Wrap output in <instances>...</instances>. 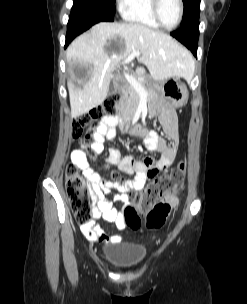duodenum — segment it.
Returning a JSON list of instances; mask_svg holds the SVG:
<instances>
[{"label": "duodenum", "instance_id": "obj_1", "mask_svg": "<svg viewBox=\"0 0 247 304\" xmlns=\"http://www.w3.org/2000/svg\"><path fill=\"white\" fill-rule=\"evenodd\" d=\"M149 83L152 81L150 78L147 80ZM117 109H118V112L119 113H122L123 112V107H122V104H117ZM127 121H125L124 119H121L120 120V123H121V126L122 127H126L127 126ZM121 127V128H122ZM122 134H125V133H122Z\"/></svg>", "mask_w": 247, "mask_h": 304}]
</instances>
